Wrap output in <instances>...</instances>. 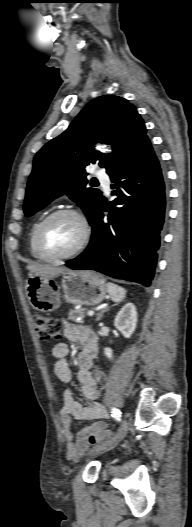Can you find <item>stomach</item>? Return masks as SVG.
<instances>
[{
  "instance_id": "stomach-1",
  "label": "stomach",
  "mask_w": 192,
  "mask_h": 527,
  "mask_svg": "<svg viewBox=\"0 0 192 527\" xmlns=\"http://www.w3.org/2000/svg\"><path fill=\"white\" fill-rule=\"evenodd\" d=\"M26 292L34 309L51 312L60 307L62 299L75 305H97L105 298L107 287L101 275L82 270L64 273L60 284L52 278L30 276Z\"/></svg>"
}]
</instances>
